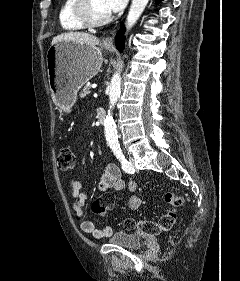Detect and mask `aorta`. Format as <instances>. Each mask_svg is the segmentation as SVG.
Returning <instances> with one entry per match:
<instances>
[{
    "instance_id": "obj_1",
    "label": "aorta",
    "mask_w": 240,
    "mask_h": 281,
    "mask_svg": "<svg viewBox=\"0 0 240 281\" xmlns=\"http://www.w3.org/2000/svg\"><path fill=\"white\" fill-rule=\"evenodd\" d=\"M149 0H132L130 10L126 20V29L129 31L134 24L137 22L142 12L144 11L146 5ZM119 66L118 71L114 73L111 83H110V91H109V110L108 114L104 121V132L107 142L115 143L118 141L116 124L112 116V109L114 108L118 98L121 94V75H120Z\"/></svg>"
}]
</instances>
